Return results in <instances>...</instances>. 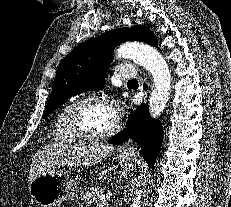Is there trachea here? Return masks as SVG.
<instances>
[{"instance_id":"1","label":"trachea","mask_w":231,"mask_h":207,"mask_svg":"<svg viewBox=\"0 0 231 207\" xmlns=\"http://www.w3.org/2000/svg\"><path fill=\"white\" fill-rule=\"evenodd\" d=\"M128 83H138L136 79L129 81Z\"/></svg>"}]
</instances>
